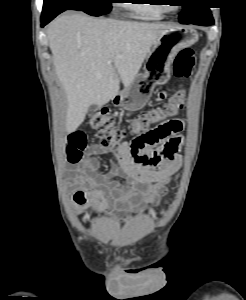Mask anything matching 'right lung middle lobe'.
Returning a JSON list of instances; mask_svg holds the SVG:
<instances>
[{
	"instance_id": "1",
	"label": "right lung middle lobe",
	"mask_w": 246,
	"mask_h": 300,
	"mask_svg": "<svg viewBox=\"0 0 246 300\" xmlns=\"http://www.w3.org/2000/svg\"><path fill=\"white\" fill-rule=\"evenodd\" d=\"M61 9L81 10L92 16H100L111 9L110 0H44L42 16Z\"/></svg>"
}]
</instances>
